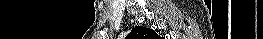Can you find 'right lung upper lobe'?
I'll return each instance as SVG.
<instances>
[{"mask_svg":"<svg viewBox=\"0 0 263 39\" xmlns=\"http://www.w3.org/2000/svg\"><path fill=\"white\" fill-rule=\"evenodd\" d=\"M131 39H155L156 33L143 26H136L129 34Z\"/></svg>","mask_w":263,"mask_h":39,"instance_id":"right-lung-upper-lobe-1","label":"right lung upper lobe"}]
</instances>
